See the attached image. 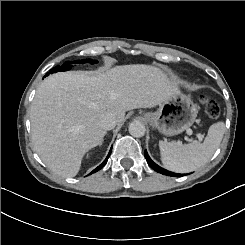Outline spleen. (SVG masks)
Here are the masks:
<instances>
[{"mask_svg": "<svg viewBox=\"0 0 245 245\" xmlns=\"http://www.w3.org/2000/svg\"><path fill=\"white\" fill-rule=\"evenodd\" d=\"M225 133V125H212L203 143H183L177 140L161 141L163 162L167 169L176 173H189L204 166L219 148Z\"/></svg>", "mask_w": 245, "mask_h": 245, "instance_id": "spleen-1", "label": "spleen"}]
</instances>
